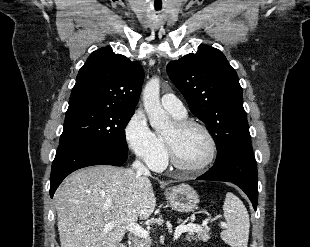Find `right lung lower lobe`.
Returning <instances> with one entry per match:
<instances>
[{"label": "right lung lower lobe", "mask_w": 310, "mask_h": 247, "mask_svg": "<svg viewBox=\"0 0 310 247\" xmlns=\"http://www.w3.org/2000/svg\"><path fill=\"white\" fill-rule=\"evenodd\" d=\"M127 158V152L87 143L74 142L59 146L51 170V198L63 179L73 171L93 165L120 166Z\"/></svg>", "instance_id": "1"}]
</instances>
